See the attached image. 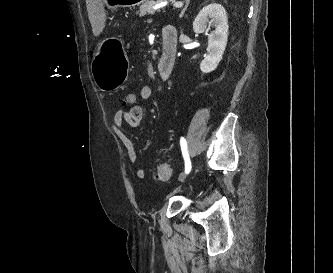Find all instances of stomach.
<instances>
[{
	"instance_id": "1",
	"label": "stomach",
	"mask_w": 333,
	"mask_h": 273,
	"mask_svg": "<svg viewBox=\"0 0 333 273\" xmlns=\"http://www.w3.org/2000/svg\"><path fill=\"white\" fill-rule=\"evenodd\" d=\"M110 10L118 7H135L147 0H100ZM109 49H103L105 45ZM120 43L114 39H107L102 42L93 56L91 70L96 85L101 91L117 89L123 83V75L128 74V58L120 53ZM116 52V53H115Z\"/></svg>"
}]
</instances>
